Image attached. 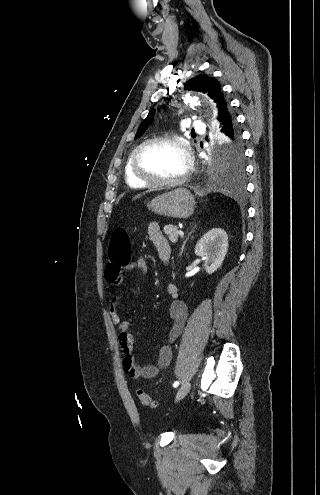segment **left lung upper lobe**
Segmentation results:
<instances>
[{"instance_id": "5c2ea615", "label": "left lung upper lobe", "mask_w": 320, "mask_h": 495, "mask_svg": "<svg viewBox=\"0 0 320 495\" xmlns=\"http://www.w3.org/2000/svg\"><path fill=\"white\" fill-rule=\"evenodd\" d=\"M184 89L206 93L213 99L217 107V118L229 109V103L222 92L220 83L214 77L205 74L197 75L185 83ZM154 113V110L149 112L140 124L135 138H139L144 133L151 123ZM217 166L232 176H238L244 171V151L241 133L237 125H235L231 135L220 137L217 146Z\"/></svg>"}]
</instances>
